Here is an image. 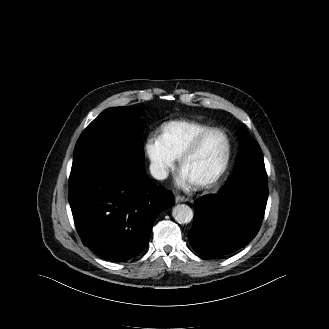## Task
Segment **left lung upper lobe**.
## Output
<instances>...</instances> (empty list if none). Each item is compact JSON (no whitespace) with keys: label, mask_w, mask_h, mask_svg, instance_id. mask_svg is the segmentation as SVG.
<instances>
[{"label":"left lung upper lobe","mask_w":329,"mask_h":329,"mask_svg":"<svg viewBox=\"0 0 329 329\" xmlns=\"http://www.w3.org/2000/svg\"><path fill=\"white\" fill-rule=\"evenodd\" d=\"M243 146L237 161H241V169H257L264 166L262 151L256 140L249 136L247 131H242Z\"/></svg>","instance_id":"5c2ea615"}]
</instances>
